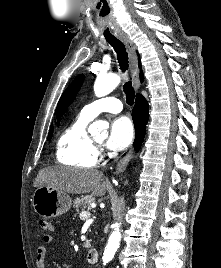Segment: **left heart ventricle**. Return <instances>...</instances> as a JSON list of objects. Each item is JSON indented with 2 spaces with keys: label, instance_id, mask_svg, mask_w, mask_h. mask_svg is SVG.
Masks as SVG:
<instances>
[{
  "label": "left heart ventricle",
  "instance_id": "b2bd125f",
  "mask_svg": "<svg viewBox=\"0 0 221 268\" xmlns=\"http://www.w3.org/2000/svg\"><path fill=\"white\" fill-rule=\"evenodd\" d=\"M96 141H98V142H102L103 139H102V138H96Z\"/></svg>",
  "mask_w": 221,
  "mask_h": 268
}]
</instances>
